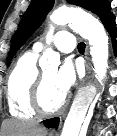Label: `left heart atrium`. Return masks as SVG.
Segmentation results:
<instances>
[{"mask_svg": "<svg viewBox=\"0 0 117 136\" xmlns=\"http://www.w3.org/2000/svg\"><path fill=\"white\" fill-rule=\"evenodd\" d=\"M79 74L80 68L72 60L66 59L56 73V88L65 96L77 82Z\"/></svg>", "mask_w": 117, "mask_h": 136, "instance_id": "39dd6f15", "label": "left heart atrium"}]
</instances>
